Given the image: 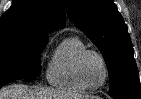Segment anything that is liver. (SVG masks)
I'll return each instance as SVG.
<instances>
[{
    "instance_id": "1",
    "label": "liver",
    "mask_w": 141,
    "mask_h": 99,
    "mask_svg": "<svg viewBox=\"0 0 141 99\" xmlns=\"http://www.w3.org/2000/svg\"><path fill=\"white\" fill-rule=\"evenodd\" d=\"M87 95L68 94L59 90L23 85L9 86L0 90V99H83Z\"/></svg>"
}]
</instances>
